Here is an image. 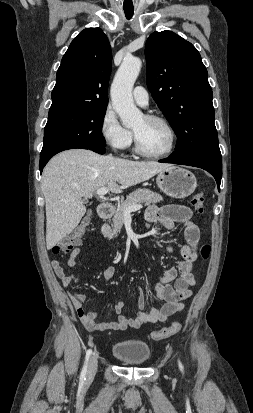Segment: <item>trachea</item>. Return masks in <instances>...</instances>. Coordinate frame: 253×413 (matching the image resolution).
<instances>
[{
    "mask_svg": "<svg viewBox=\"0 0 253 413\" xmlns=\"http://www.w3.org/2000/svg\"><path fill=\"white\" fill-rule=\"evenodd\" d=\"M126 18L129 20L134 14V10H124Z\"/></svg>",
    "mask_w": 253,
    "mask_h": 413,
    "instance_id": "obj_1",
    "label": "trachea"
}]
</instances>
